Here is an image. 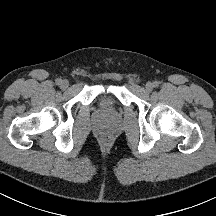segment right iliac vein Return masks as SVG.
<instances>
[{
    "mask_svg": "<svg viewBox=\"0 0 216 216\" xmlns=\"http://www.w3.org/2000/svg\"><path fill=\"white\" fill-rule=\"evenodd\" d=\"M69 86V81L67 79L62 80L60 87L66 89Z\"/></svg>",
    "mask_w": 216,
    "mask_h": 216,
    "instance_id": "right-iliac-vein-1",
    "label": "right iliac vein"
}]
</instances>
